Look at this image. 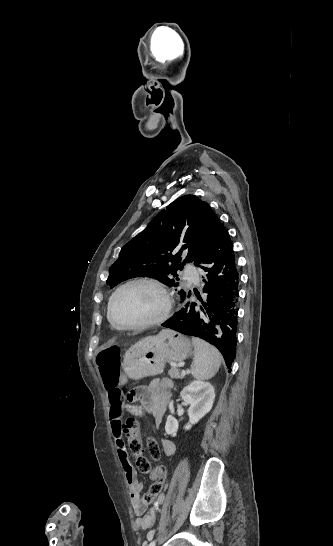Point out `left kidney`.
I'll list each match as a JSON object with an SVG mask.
<instances>
[{
    "label": "left kidney",
    "instance_id": "1",
    "mask_svg": "<svg viewBox=\"0 0 333 546\" xmlns=\"http://www.w3.org/2000/svg\"><path fill=\"white\" fill-rule=\"evenodd\" d=\"M180 397L185 404L189 405V422L185 426V429L189 430L212 409L215 392L210 383L193 381L181 391ZM177 430L178 421L174 416L169 415L165 425L166 433L176 436Z\"/></svg>",
    "mask_w": 333,
    "mask_h": 546
}]
</instances>
